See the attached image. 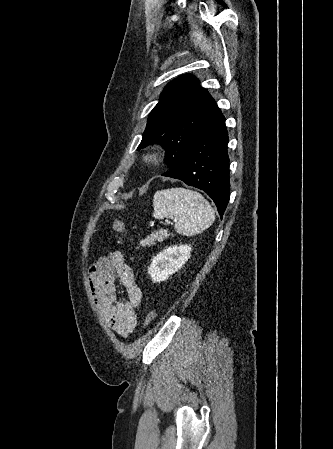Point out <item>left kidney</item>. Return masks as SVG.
<instances>
[{
	"mask_svg": "<svg viewBox=\"0 0 333 449\" xmlns=\"http://www.w3.org/2000/svg\"><path fill=\"white\" fill-rule=\"evenodd\" d=\"M191 247L187 245L170 246L153 257L148 273L153 282L166 280L180 269L190 257Z\"/></svg>",
	"mask_w": 333,
	"mask_h": 449,
	"instance_id": "obj_1",
	"label": "left kidney"
}]
</instances>
